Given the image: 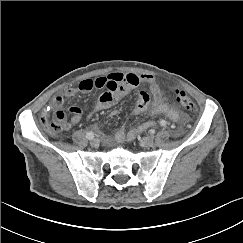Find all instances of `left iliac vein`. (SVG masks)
I'll use <instances>...</instances> for the list:
<instances>
[{"instance_id": "1", "label": "left iliac vein", "mask_w": 243, "mask_h": 243, "mask_svg": "<svg viewBox=\"0 0 243 243\" xmlns=\"http://www.w3.org/2000/svg\"><path fill=\"white\" fill-rule=\"evenodd\" d=\"M140 145L146 148L152 147L154 145V140L151 137H143L140 140Z\"/></svg>"}]
</instances>
